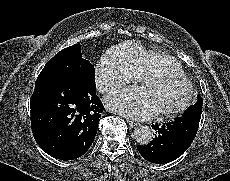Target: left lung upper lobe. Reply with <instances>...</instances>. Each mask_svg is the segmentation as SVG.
Returning <instances> with one entry per match:
<instances>
[{
  "mask_svg": "<svg viewBox=\"0 0 230 181\" xmlns=\"http://www.w3.org/2000/svg\"><path fill=\"white\" fill-rule=\"evenodd\" d=\"M202 104H203V99H202L200 96H198V101H197V103H196L195 105L190 106L189 108L195 107V108H200V109H202Z\"/></svg>",
  "mask_w": 230,
  "mask_h": 181,
  "instance_id": "left-lung-upper-lobe-1",
  "label": "left lung upper lobe"
}]
</instances>
